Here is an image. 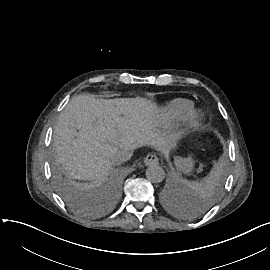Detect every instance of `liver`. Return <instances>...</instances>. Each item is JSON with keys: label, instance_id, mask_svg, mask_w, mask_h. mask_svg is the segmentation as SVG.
Wrapping results in <instances>:
<instances>
[{"label": "liver", "instance_id": "6515ba94", "mask_svg": "<svg viewBox=\"0 0 270 270\" xmlns=\"http://www.w3.org/2000/svg\"><path fill=\"white\" fill-rule=\"evenodd\" d=\"M157 110L154 102L142 97H73L54 129L57 162L74 179L102 181L119 164V150L151 146L164 152L166 140L154 123Z\"/></svg>", "mask_w": 270, "mask_h": 270}]
</instances>
